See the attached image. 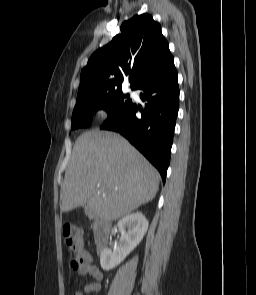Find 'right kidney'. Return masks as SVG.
<instances>
[{"label": "right kidney", "mask_w": 256, "mask_h": 295, "mask_svg": "<svg viewBox=\"0 0 256 295\" xmlns=\"http://www.w3.org/2000/svg\"><path fill=\"white\" fill-rule=\"evenodd\" d=\"M148 221L140 212H135L119 220L117 226L121 233L118 245L111 251L105 248L100 255V265L105 271L118 266L141 242L148 230Z\"/></svg>", "instance_id": "ca27d5eb"}]
</instances>
